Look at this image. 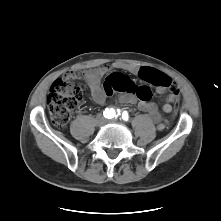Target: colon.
<instances>
[{"label":"colon","mask_w":221,"mask_h":221,"mask_svg":"<svg viewBox=\"0 0 221 221\" xmlns=\"http://www.w3.org/2000/svg\"><path fill=\"white\" fill-rule=\"evenodd\" d=\"M140 78L154 86L164 87L171 91L176 97L179 96V89L172 79L153 68L143 67L139 71ZM106 91L109 95L113 90L106 84ZM120 90H128L135 94L140 100L148 101L152 96L151 88L147 85L128 84L120 88ZM85 90L76 84L73 77L67 75L53 82L48 96V110L52 122L59 128H64L77 107L78 103L83 99ZM177 108H175V112Z\"/></svg>","instance_id":"1"}]
</instances>
